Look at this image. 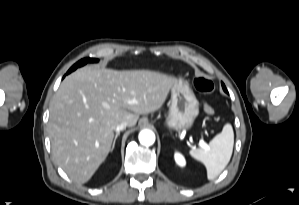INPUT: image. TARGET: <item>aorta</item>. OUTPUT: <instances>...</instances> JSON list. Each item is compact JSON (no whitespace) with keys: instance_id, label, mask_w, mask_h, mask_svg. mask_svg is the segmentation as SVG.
<instances>
[{"instance_id":"762f6f07","label":"aorta","mask_w":299,"mask_h":205,"mask_svg":"<svg viewBox=\"0 0 299 205\" xmlns=\"http://www.w3.org/2000/svg\"><path fill=\"white\" fill-rule=\"evenodd\" d=\"M139 141L144 146H151L155 142V134L153 131L145 129L139 133Z\"/></svg>"}]
</instances>
